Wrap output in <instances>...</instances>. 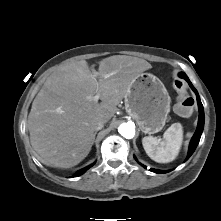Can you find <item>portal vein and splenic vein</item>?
Returning a JSON list of instances; mask_svg holds the SVG:
<instances>
[{
  "instance_id": "18ae733b",
  "label": "portal vein and splenic vein",
  "mask_w": 221,
  "mask_h": 221,
  "mask_svg": "<svg viewBox=\"0 0 221 221\" xmlns=\"http://www.w3.org/2000/svg\"><path fill=\"white\" fill-rule=\"evenodd\" d=\"M108 76H109V75H108ZM108 76H106V77H108ZM99 98H100V95H99V94H96V95L92 98V100L95 101V102H98Z\"/></svg>"
}]
</instances>
